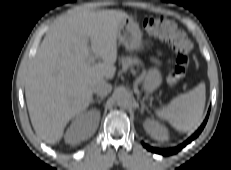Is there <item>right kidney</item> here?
<instances>
[{
	"mask_svg": "<svg viewBox=\"0 0 231 170\" xmlns=\"http://www.w3.org/2000/svg\"><path fill=\"white\" fill-rule=\"evenodd\" d=\"M100 119V112L90 110L75 117L64 136L68 144H78L88 139L96 131Z\"/></svg>",
	"mask_w": 231,
	"mask_h": 170,
	"instance_id": "1",
	"label": "right kidney"
}]
</instances>
